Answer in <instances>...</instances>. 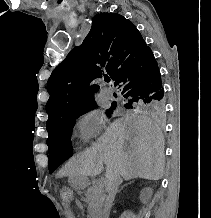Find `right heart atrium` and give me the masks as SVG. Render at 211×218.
Returning <instances> with one entry per match:
<instances>
[{
	"label": "right heart atrium",
	"mask_w": 211,
	"mask_h": 218,
	"mask_svg": "<svg viewBox=\"0 0 211 218\" xmlns=\"http://www.w3.org/2000/svg\"><path fill=\"white\" fill-rule=\"evenodd\" d=\"M102 127V115L94 109L84 111L74 122V129L83 142H87L95 137L101 131Z\"/></svg>",
	"instance_id": "obj_1"
}]
</instances>
